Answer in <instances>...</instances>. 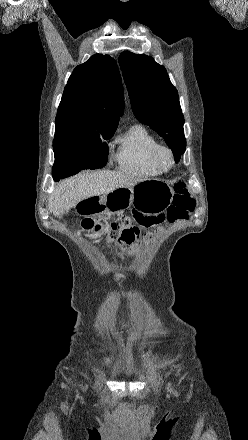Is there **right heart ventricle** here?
<instances>
[{
	"mask_svg": "<svg viewBox=\"0 0 248 440\" xmlns=\"http://www.w3.org/2000/svg\"><path fill=\"white\" fill-rule=\"evenodd\" d=\"M158 145L156 138L144 126H131L116 139L114 160L117 168L137 177L160 175L151 161V153Z\"/></svg>",
	"mask_w": 248,
	"mask_h": 440,
	"instance_id": "1",
	"label": "right heart ventricle"
}]
</instances>
